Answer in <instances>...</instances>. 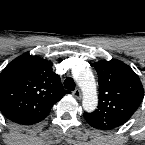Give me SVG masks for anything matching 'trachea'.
I'll return each instance as SVG.
<instances>
[{
    "label": "trachea",
    "mask_w": 145,
    "mask_h": 145,
    "mask_svg": "<svg viewBox=\"0 0 145 145\" xmlns=\"http://www.w3.org/2000/svg\"><path fill=\"white\" fill-rule=\"evenodd\" d=\"M75 82L71 77H67L64 81V87L67 90L73 91L75 89Z\"/></svg>",
    "instance_id": "trachea-1"
}]
</instances>
